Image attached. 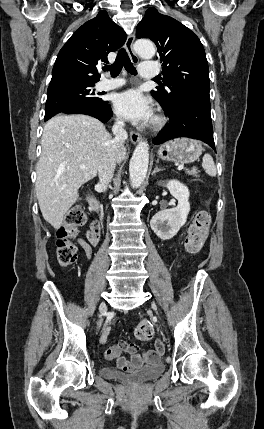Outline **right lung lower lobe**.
<instances>
[{
    "label": "right lung lower lobe",
    "instance_id": "obj_1",
    "mask_svg": "<svg viewBox=\"0 0 264 429\" xmlns=\"http://www.w3.org/2000/svg\"><path fill=\"white\" fill-rule=\"evenodd\" d=\"M67 113V114H86L92 117H95L102 121L103 123L107 122L112 117V110L107 101H104V104L100 107L90 106V105H76L69 107L58 114Z\"/></svg>",
    "mask_w": 264,
    "mask_h": 429
}]
</instances>
